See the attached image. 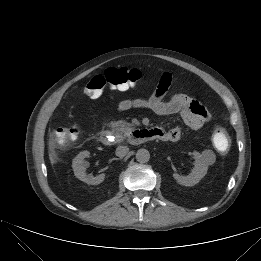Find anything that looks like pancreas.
<instances>
[{
  "mask_svg": "<svg viewBox=\"0 0 261 261\" xmlns=\"http://www.w3.org/2000/svg\"><path fill=\"white\" fill-rule=\"evenodd\" d=\"M109 126L116 132L120 141H122L132 129V124L124 121H113L109 123Z\"/></svg>",
  "mask_w": 261,
  "mask_h": 261,
  "instance_id": "1",
  "label": "pancreas"
}]
</instances>
